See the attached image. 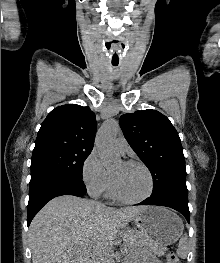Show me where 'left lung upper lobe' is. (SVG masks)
Returning a JSON list of instances; mask_svg holds the SVG:
<instances>
[{
	"mask_svg": "<svg viewBox=\"0 0 220 263\" xmlns=\"http://www.w3.org/2000/svg\"><path fill=\"white\" fill-rule=\"evenodd\" d=\"M120 126L129 145L151 172V196L173 195L188 200L183 149L170 120L147 109L122 115Z\"/></svg>",
	"mask_w": 220,
	"mask_h": 263,
	"instance_id": "1",
	"label": "left lung upper lobe"
}]
</instances>
